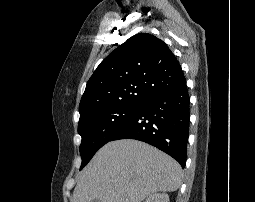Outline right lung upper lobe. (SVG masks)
<instances>
[{
  "mask_svg": "<svg viewBox=\"0 0 255 202\" xmlns=\"http://www.w3.org/2000/svg\"><path fill=\"white\" fill-rule=\"evenodd\" d=\"M185 82L179 62L162 40L136 34L99 64L81 98L80 118L106 107L141 105Z\"/></svg>",
  "mask_w": 255,
  "mask_h": 202,
  "instance_id": "right-lung-upper-lobe-1",
  "label": "right lung upper lobe"
}]
</instances>
